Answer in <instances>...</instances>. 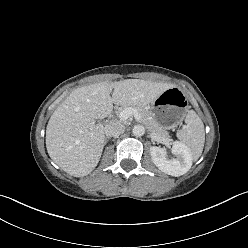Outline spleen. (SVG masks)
<instances>
[{"instance_id":"spleen-1","label":"spleen","mask_w":248,"mask_h":248,"mask_svg":"<svg viewBox=\"0 0 248 248\" xmlns=\"http://www.w3.org/2000/svg\"><path fill=\"white\" fill-rule=\"evenodd\" d=\"M185 123L186 126L177 132V137L181 143L189 148L193 158L196 160L201 156L204 147V125L193 110H190L186 115Z\"/></svg>"}]
</instances>
